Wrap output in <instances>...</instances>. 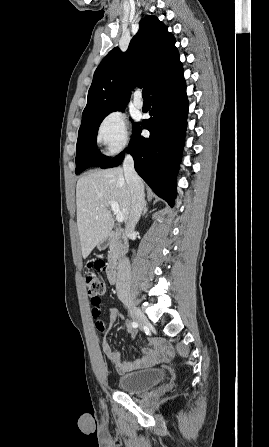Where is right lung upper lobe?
I'll return each mask as SVG.
<instances>
[{
	"label": "right lung upper lobe",
	"mask_w": 269,
	"mask_h": 447,
	"mask_svg": "<svg viewBox=\"0 0 269 447\" xmlns=\"http://www.w3.org/2000/svg\"><path fill=\"white\" fill-rule=\"evenodd\" d=\"M180 66L174 36L157 17H144L127 51L123 53L115 47L97 67L80 128L109 112L125 109L129 84L152 90Z\"/></svg>",
	"instance_id": "right-lung-upper-lobe-1"
}]
</instances>
